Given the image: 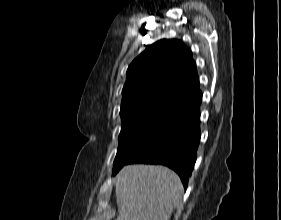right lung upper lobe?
Returning a JSON list of instances; mask_svg holds the SVG:
<instances>
[{"label": "right lung upper lobe", "mask_w": 281, "mask_h": 220, "mask_svg": "<svg viewBox=\"0 0 281 220\" xmlns=\"http://www.w3.org/2000/svg\"><path fill=\"white\" fill-rule=\"evenodd\" d=\"M122 94V119L171 118L202 95L191 51L175 39L150 45L128 67Z\"/></svg>", "instance_id": "1"}]
</instances>
